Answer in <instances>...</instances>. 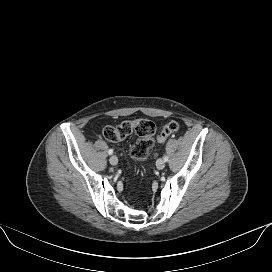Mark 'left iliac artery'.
<instances>
[{
    "label": "left iliac artery",
    "mask_w": 272,
    "mask_h": 272,
    "mask_svg": "<svg viewBox=\"0 0 272 272\" xmlns=\"http://www.w3.org/2000/svg\"><path fill=\"white\" fill-rule=\"evenodd\" d=\"M163 160H164L165 162H167V161H168V157H167V156H164V157H163Z\"/></svg>",
    "instance_id": "44dca946"
}]
</instances>
